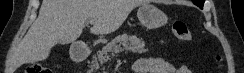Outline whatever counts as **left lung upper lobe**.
<instances>
[{
    "instance_id": "5c2ea615",
    "label": "left lung upper lobe",
    "mask_w": 244,
    "mask_h": 73,
    "mask_svg": "<svg viewBox=\"0 0 244 73\" xmlns=\"http://www.w3.org/2000/svg\"><path fill=\"white\" fill-rule=\"evenodd\" d=\"M204 1L205 0H193L194 4H196L200 8H203Z\"/></svg>"
}]
</instances>
